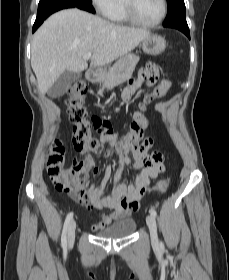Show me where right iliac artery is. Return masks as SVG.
<instances>
[{
    "mask_svg": "<svg viewBox=\"0 0 229 280\" xmlns=\"http://www.w3.org/2000/svg\"><path fill=\"white\" fill-rule=\"evenodd\" d=\"M73 218V213L70 212L64 222V226H63V231H62V236H61V243H62V247L65 249L67 247V229L69 226L70 221Z\"/></svg>",
    "mask_w": 229,
    "mask_h": 280,
    "instance_id": "obj_1",
    "label": "right iliac artery"
}]
</instances>
